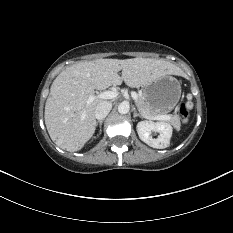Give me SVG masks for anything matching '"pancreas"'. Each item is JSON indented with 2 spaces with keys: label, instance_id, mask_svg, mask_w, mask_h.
I'll list each match as a JSON object with an SVG mask.
<instances>
[{
  "label": "pancreas",
  "instance_id": "cf45deb5",
  "mask_svg": "<svg viewBox=\"0 0 233 233\" xmlns=\"http://www.w3.org/2000/svg\"><path fill=\"white\" fill-rule=\"evenodd\" d=\"M135 103L139 111L146 116L163 115L157 110L151 109L143 95H138V98L135 101ZM168 122L172 124L177 130L180 129L181 123H180V117L178 115L171 116V119L168 120Z\"/></svg>",
  "mask_w": 233,
  "mask_h": 233
}]
</instances>
